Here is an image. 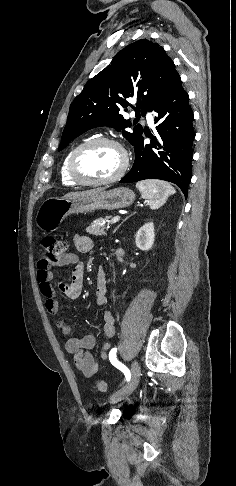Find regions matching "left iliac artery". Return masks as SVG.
I'll return each mask as SVG.
<instances>
[{
  "instance_id": "1",
  "label": "left iliac artery",
  "mask_w": 236,
  "mask_h": 486,
  "mask_svg": "<svg viewBox=\"0 0 236 486\" xmlns=\"http://www.w3.org/2000/svg\"><path fill=\"white\" fill-rule=\"evenodd\" d=\"M116 352H117V348H113L110 353H109V360L110 362L116 367L118 368L119 370H121L125 377H126V380L129 381L130 378H131V374H130V371L129 369L124 365L122 364L121 362H119L116 358Z\"/></svg>"
}]
</instances>
